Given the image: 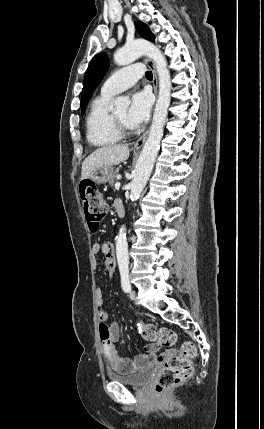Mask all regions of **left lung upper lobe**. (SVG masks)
Wrapping results in <instances>:
<instances>
[{
  "label": "left lung upper lobe",
  "mask_w": 264,
  "mask_h": 429,
  "mask_svg": "<svg viewBox=\"0 0 264 429\" xmlns=\"http://www.w3.org/2000/svg\"><path fill=\"white\" fill-rule=\"evenodd\" d=\"M135 25H136L137 31L143 38L154 41L155 37L150 32L147 25H145L140 21L136 22ZM108 67H109V60L105 53H100L96 55L92 59L91 63L89 64L85 74L83 89H82V96H81L82 114L85 112V108L90 98L92 97V94L95 88L99 85V83L103 79Z\"/></svg>",
  "instance_id": "left-lung-upper-lobe-1"
}]
</instances>
